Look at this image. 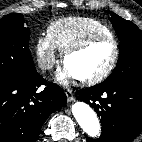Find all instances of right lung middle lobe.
<instances>
[{"label":"right lung middle lobe","mask_w":142,"mask_h":142,"mask_svg":"<svg viewBox=\"0 0 142 142\" xmlns=\"http://www.w3.org/2000/svg\"><path fill=\"white\" fill-rule=\"evenodd\" d=\"M29 36L23 15L9 14L0 19V82L19 80L36 71Z\"/></svg>","instance_id":"dd1d6c3e"}]
</instances>
